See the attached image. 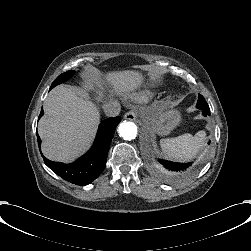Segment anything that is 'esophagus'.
<instances>
[{
    "label": "esophagus",
    "mask_w": 251,
    "mask_h": 251,
    "mask_svg": "<svg viewBox=\"0 0 251 251\" xmlns=\"http://www.w3.org/2000/svg\"><path fill=\"white\" fill-rule=\"evenodd\" d=\"M137 117H138V115H137V112L135 110L128 111L124 115V118L126 120H131V121H135L137 119Z\"/></svg>",
    "instance_id": "esophagus-1"
}]
</instances>
